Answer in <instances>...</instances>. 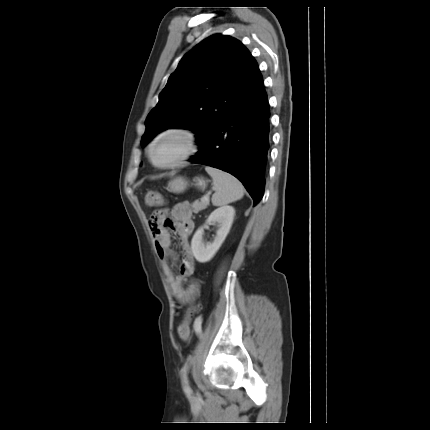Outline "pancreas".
Segmentation results:
<instances>
[{
	"mask_svg": "<svg viewBox=\"0 0 430 430\" xmlns=\"http://www.w3.org/2000/svg\"><path fill=\"white\" fill-rule=\"evenodd\" d=\"M208 205H209V200L203 201L201 199V201L199 200L194 201L191 207L194 213H198L199 211L206 209Z\"/></svg>",
	"mask_w": 430,
	"mask_h": 430,
	"instance_id": "1",
	"label": "pancreas"
}]
</instances>
